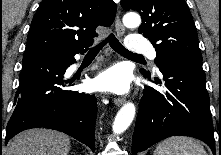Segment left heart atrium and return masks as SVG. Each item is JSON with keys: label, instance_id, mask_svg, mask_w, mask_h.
I'll return each instance as SVG.
<instances>
[{"label": "left heart atrium", "instance_id": "39dd6f15", "mask_svg": "<svg viewBox=\"0 0 221 155\" xmlns=\"http://www.w3.org/2000/svg\"><path fill=\"white\" fill-rule=\"evenodd\" d=\"M94 86L99 91L125 93L130 87V74L122 66H113L100 73L94 79Z\"/></svg>", "mask_w": 221, "mask_h": 155}]
</instances>
